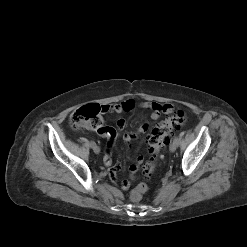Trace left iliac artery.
<instances>
[{
  "mask_svg": "<svg viewBox=\"0 0 247 247\" xmlns=\"http://www.w3.org/2000/svg\"><path fill=\"white\" fill-rule=\"evenodd\" d=\"M177 144H179V138L177 136L174 137V140Z\"/></svg>",
  "mask_w": 247,
  "mask_h": 247,
  "instance_id": "left-iliac-artery-1",
  "label": "left iliac artery"
}]
</instances>
